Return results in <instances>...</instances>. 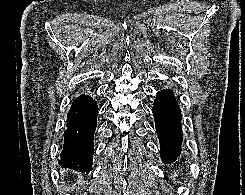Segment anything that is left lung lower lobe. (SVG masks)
I'll return each mask as SVG.
<instances>
[{"mask_svg": "<svg viewBox=\"0 0 245 195\" xmlns=\"http://www.w3.org/2000/svg\"><path fill=\"white\" fill-rule=\"evenodd\" d=\"M153 114L156 132L160 141L162 159L165 163L175 162L181 152L182 115L172 90L165 89L157 93Z\"/></svg>", "mask_w": 245, "mask_h": 195, "instance_id": "obj_1", "label": "left lung lower lobe"}]
</instances>
